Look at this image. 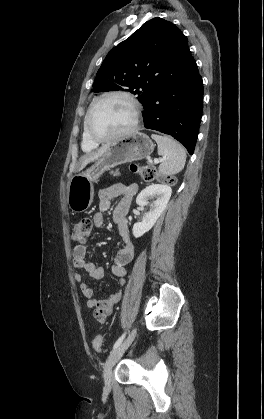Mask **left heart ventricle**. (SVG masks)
<instances>
[{"instance_id": "left-heart-ventricle-1", "label": "left heart ventricle", "mask_w": 264, "mask_h": 419, "mask_svg": "<svg viewBox=\"0 0 264 419\" xmlns=\"http://www.w3.org/2000/svg\"><path fill=\"white\" fill-rule=\"evenodd\" d=\"M134 109L124 97L111 96L100 101L93 110L90 125L101 137L111 136L127 129L133 122Z\"/></svg>"}]
</instances>
